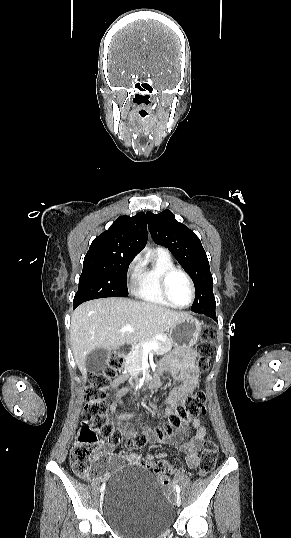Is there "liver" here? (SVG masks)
Instances as JSON below:
<instances>
[{
    "label": "liver",
    "instance_id": "6515ba94",
    "mask_svg": "<svg viewBox=\"0 0 291 538\" xmlns=\"http://www.w3.org/2000/svg\"><path fill=\"white\" fill-rule=\"evenodd\" d=\"M188 316L165 306L128 298H104L78 306L71 317V342L75 362L86 379L85 361L95 349L116 350L163 334ZM126 324L132 331L120 332Z\"/></svg>",
    "mask_w": 291,
    "mask_h": 538
}]
</instances>
